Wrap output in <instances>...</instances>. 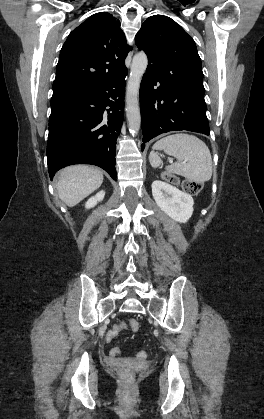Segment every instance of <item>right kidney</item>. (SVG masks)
<instances>
[{
    "label": "right kidney",
    "mask_w": 264,
    "mask_h": 419,
    "mask_svg": "<svg viewBox=\"0 0 264 419\" xmlns=\"http://www.w3.org/2000/svg\"><path fill=\"white\" fill-rule=\"evenodd\" d=\"M105 196V192L104 191H100L98 192L95 196L91 197L85 204V207L87 209L89 208H93L94 206L97 205L98 202L102 201L103 198Z\"/></svg>",
    "instance_id": "ca27d5eb"
}]
</instances>
